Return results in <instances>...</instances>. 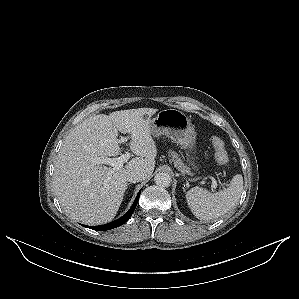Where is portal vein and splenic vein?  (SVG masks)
<instances>
[{
    "instance_id": "1",
    "label": "portal vein and splenic vein",
    "mask_w": 299,
    "mask_h": 299,
    "mask_svg": "<svg viewBox=\"0 0 299 299\" xmlns=\"http://www.w3.org/2000/svg\"><path fill=\"white\" fill-rule=\"evenodd\" d=\"M127 138L126 137H122L120 139V142H126ZM130 158V153L126 152V154L121 155L120 157L117 158H107V157H100L96 160L97 164H107L110 165L111 167H113V170H117L123 167V164L125 162H127V160ZM210 179L212 180V186H211V190L214 191L217 187V182L216 179L214 177H210Z\"/></svg>"
}]
</instances>
